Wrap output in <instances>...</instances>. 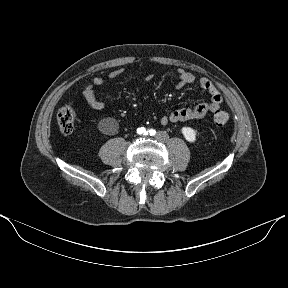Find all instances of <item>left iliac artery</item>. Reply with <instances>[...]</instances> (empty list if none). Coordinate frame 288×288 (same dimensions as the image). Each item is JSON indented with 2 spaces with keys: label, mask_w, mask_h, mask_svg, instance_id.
Segmentation results:
<instances>
[{
  "label": "left iliac artery",
  "mask_w": 288,
  "mask_h": 288,
  "mask_svg": "<svg viewBox=\"0 0 288 288\" xmlns=\"http://www.w3.org/2000/svg\"><path fill=\"white\" fill-rule=\"evenodd\" d=\"M148 133H149V135L153 136V135L156 134V131H155L154 129H150V130L148 131Z\"/></svg>",
  "instance_id": "obj_1"
}]
</instances>
